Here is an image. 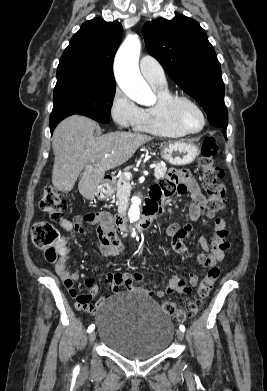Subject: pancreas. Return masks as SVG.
I'll return each mask as SVG.
<instances>
[{
	"label": "pancreas",
	"instance_id": "pancreas-1",
	"mask_svg": "<svg viewBox=\"0 0 267 391\" xmlns=\"http://www.w3.org/2000/svg\"><path fill=\"white\" fill-rule=\"evenodd\" d=\"M155 165L156 167L154 169V175L157 179H162L166 174L167 167L161 165L160 163H156ZM112 185L117 192V197L120 198L125 193L124 186L129 185V179L126 178L125 174H122L117 179L112 181Z\"/></svg>",
	"mask_w": 267,
	"mask_h": 391
}]
</instances>
